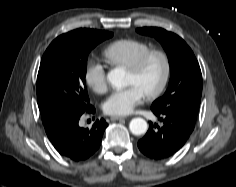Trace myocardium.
Here are the masks:
<instances>
[{"mask_svg": "<svg viewBox=\"0 0 236 187\" xmlns=\"http://www.w3.org/2000/svg\"><path fill=\"white\" fill-rule=\"evenodd\" d=\"M153 57H158L161 59L163 63V76L159 85L154 90L144 94L145 98L149 100L159 97L166 90L169 84L172 72V65L169 55L165 51L151 49L138 57L128 68L129 72L134 75H138L141 73L147 62Z\"/></svg>", "mask_w": 236, "mask_h": 187, "instance_id": "obj_1", "label": "myocardium"}]
</instances>
